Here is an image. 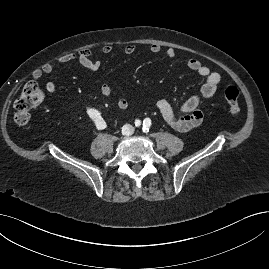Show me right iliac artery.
Here are the masks:
<instances>
[{
  "label": "right iliac artery",
  "mask_w": 269,
  "mask_h": 269,
  "mask_svg": "<svg viewBox=\"0 0 269 269\" xmlns=\"http://www.w3.org/2000/svg\"><path fill=\"white\" fill-rule=\"evenodd\" d=\"M141 125V121L140 120H135V126L139 127Z\"/></svg>",
  "instance_id": "right-iliac-artery-1"
}]
</instances>
